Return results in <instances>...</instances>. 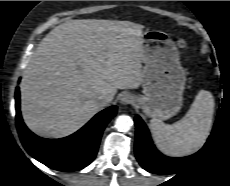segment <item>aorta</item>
<instances>
[{
    "instance_id": "obj_1",
    "label": "aorta",
    "mask_w": 230,
    "mask_h": 186,
    "mask_svg": "<svg viewBox=\"0 0 230 186\" xmlns=\"http://www.w3.org/2000/svg\"><path fill=\"white\" fill-rule=\"evenodd\" d=\"M132 124V119L127 115H120L115 120V127L120 132H127L130 130Z\"/></svg>"
}]
</instances>
